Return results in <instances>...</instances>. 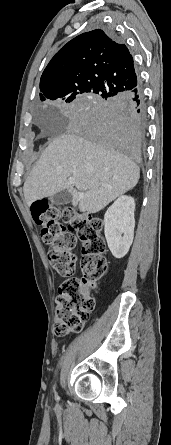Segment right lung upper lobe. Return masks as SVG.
Returning <instances> with one entry per match:
<instances>
[{
  "mask_svg": "<svg viewBox=\"0 0 171 445\" xmlns=\"http://www.w3.org/2000/svg\"><path fill=\"white\" fill-rule=\"evenodd\" d=\"M139 86L133 57L113 32L83 33L54 55L40 79V99L80 93L122 96Z\"/></svg>",
  "mask_w": 171,
  "mask_h": 445,
  "instance_id": "obj_1",
  "label": "right lung upper lobe"
}]
</instances>
